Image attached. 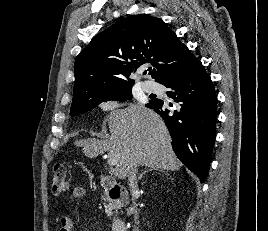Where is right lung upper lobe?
<instances>
[{
  "label": "right lung upper lobe",
  "mask_w": 268,
  "mask_h": 231,
  "mask_svg": "<svg viewBox=\"0 0 268 231\" xmlns=\"http://www.w3.org/2000/svg\"><path fill=\"white\" fill-rule=\"evenodd\" d=\"M197 61L160 18L127 17L92 38L77 56L72 104L131 87L129 76L144 63L153 66L149 74L160 83Z\"/></svg>",
  "instance_id": "right-lung-upper-lobe-1"
}]
</instances>
